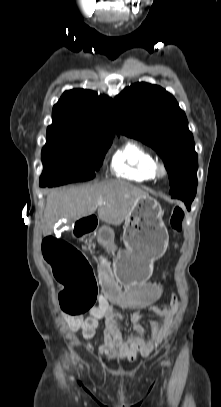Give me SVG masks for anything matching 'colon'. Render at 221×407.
Segmentation results:
<instances>
[{"mask_svg":"<svg viewBox=\"0 0 221 407\" xmlns=\"http://www.w3.org/2000/svg\"><path fill=\"white\" fill-rule=\"evenodd\" d=\"M185 210L176 205L171 213L170 226L174 232L183 229ZM96 216H78L72 232L74 239H95L98 229ZM45 261L51 266L57 281L62 285L59 301L62 310L69 316H80L95 304L98 284L92 267L84 255L72 244L58 238L48 237L42 245ZM106 298L120 311H149L162 300V283H129L122 291L106 275L103 277Z\"/></svg>","mask_w":221,"mask_h":407,"instance_id":"1","label":"colon"}]
</instances>
